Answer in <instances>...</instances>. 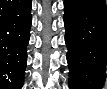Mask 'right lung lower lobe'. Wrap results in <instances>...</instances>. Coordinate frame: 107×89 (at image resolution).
Instances as JSON below:
<instances>
[{
    "label": "right lung lower lobe",
    "instance_id": "1",
    "mask_svg": "<svg viewBox=\"0 0 107 89\" xmlns=\"http://www.w3.org/2000/svg\"><path fill=\"white\" fill-rule=\"evenodd\" d=\"M31 0L0 1V88L21 89L27 63Z\"/></svg>",
    "mask_w": 107,
    "mask_h": 89
}]
</instances>
